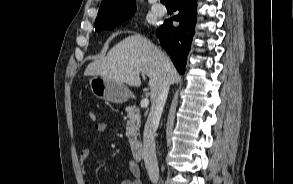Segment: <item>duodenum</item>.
Wrapping results in <instances>:
<instances>
[{"instance_id": "1", "label": "duodenum", "mask_w": 293, "mask_h": 184, "mask_svg": "<svg viewBox=\"0 0 293 184\" xmlns=\"http://www.w3.org/2000/svg\"><path fill=\"white\" fill-rule=\"evenodd\" d=\"M143 144L140 140L131 142V153L134 160H140L142 157Z\"/></svg>"}]
</instances>
